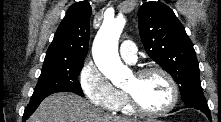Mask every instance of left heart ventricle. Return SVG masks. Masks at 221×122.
Masks as SVG:
<instances>
[{
    "label": "left heart ventricle",
    "mask_w": 221,
    "mask_h": 122,
    "mask_svg": "<svg viewBox=\"0 0 221 122\" xmlns=\"http://www.w3.org/2000/svg\"><path fill=\"white\" fill-rule=\"evenodd\" d=\"M125 90L132 92L138 102L148 110L163 109L171 98L167 81L158 73H151L142 78L132 76Z\"/></svg>",
    "instance_id": "b2bd125f"
}]
</instances>
